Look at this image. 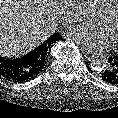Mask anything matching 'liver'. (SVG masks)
Returning <instances> with one entry per match:
<instances>
[{
	"label": "liver",
	"instance_id": "obj_1",
	"mask_svg": "<svg viewBox=\"0 0 118 118\" xmlns=\"http://www.w3.org/2000/svg\"><path fill=\"white\" fill-rule=\"evenodd\" d=\"M56 0H0V55L20 57L57 29Z\"/></svg>",
	"mask_w": 118,
	"mask_h": 118
}]
</instances>
